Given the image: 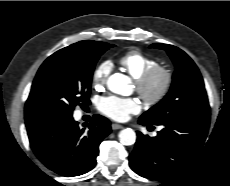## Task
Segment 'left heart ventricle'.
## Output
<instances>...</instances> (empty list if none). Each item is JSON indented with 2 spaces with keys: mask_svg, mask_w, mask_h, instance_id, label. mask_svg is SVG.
Wrapping results in <instances>:
<instances>
[{
  "mask_svg": "<svg viewBox=\"0 0 230 186\" xmlns=\"http://www.w3.org/2000/svg\"><path fill=\"white\" fill-rule=\"evenodd\" d=\"M161 85V80L157 79L152 85V91H157Z\"/></svg>",
  "mask_w": 230,
  "mask_h": 186,
  "instance_id": "left-heart-ventricle-1",
  "label": "left heart ventricle"
}]
</instances>
